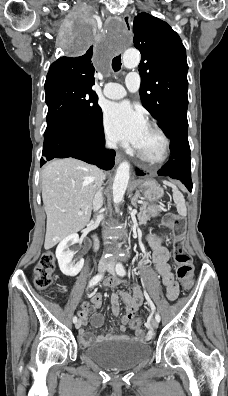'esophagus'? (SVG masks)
<instances>
[{"label":"esophagus","mask_w":228,"mask_h":396,"mask_svg":"<svg viewBox=\"0 0 228 396\" xmlns=\"http://www.w3.org/2000/svg\"><path fill=\"white\" fill-rule=\"evenodd\" d=\"M123 22L125 23V25L131 26V17L128 13L123 16ZM115 159L116 163H120V161L122 160V155L120 153H117Z\"/></svg>","instance_id":"obj_1"}]
</instances>
